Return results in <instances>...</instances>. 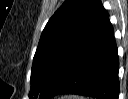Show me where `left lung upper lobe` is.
Masks as SVG:
<instances>
[{
  "label": "left lung upper lobe",
  "mask_w": 128,
  "mask_h": 99,
  "mask_svg": "<svg viewBox=\"0 0 128 99\" xmlns=\"http://www.w3.org/2000/svg\"><path fill=\"white\" fill-rule=\"evenodd\" d=\"M105 14L100 0H65L41 34L33 58L29 99H45L61 66L85 43Z\"/></svg>",
  "instance_id": "5c2ea615"
}]
</instances>
